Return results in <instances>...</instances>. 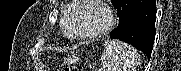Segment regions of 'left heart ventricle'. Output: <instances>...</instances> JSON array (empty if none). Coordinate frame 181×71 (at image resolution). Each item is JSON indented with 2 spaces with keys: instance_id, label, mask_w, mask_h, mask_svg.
I'll return each instance as SVG.
<instances>
[{
  "instance_id": "1",
  "label": "left heart ventricle",
  "mask_w": 181,
  "mask_h": 71,
  "mask_svg": "<svg viewBox=\"0 0 181 71\" xmlns=\"http://www.w3.org/2000/svg\"><path fill=\"white\" fill-rule=\"evenodd\" d=\"M107 16L96 5L84 7L79 15L78 31L84 34L94 33L105 26Z\"/></svg>"
}]
</instances>
